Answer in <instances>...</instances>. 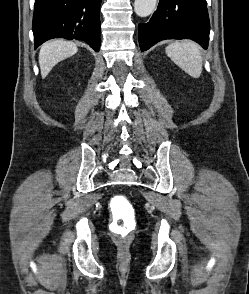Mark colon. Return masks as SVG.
<instances>
[{
  "label": "colon",
  "mask_w": 249,
  "mask_h": 294,
  "mask_svg": "<svg viewBox=\"0 0 249 294\" xmlns=\"http://www.w3.org/2000/svg\"><path fill=\"white\" fill-rule=\"evenodd\" d=\"M127 199L123 196H115L111 200V206L115 216L111 222V230L116 235L126 238L135 228V222L128 213Z\"/></svg>",
  "instance_id": "1"
}]
</instances>
